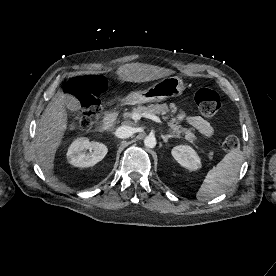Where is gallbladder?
<instances>
[{
  "label": "gallbladder",
  "mask_w": 276,
  "mask_h": 276,
  "mask_svg": "<svg viewBox=\"0 0 276 276\" xmlns=\"http://www.w3.org/2000/svg\"><path fill=\"white\" fill-rule=\"evenodd\" d=\"M67 108L71 111H78L81 108L79 100L73 97L71 100L67 101Z\"/></svg>",
  "instance_id": "gallbladder-1"
}]
</instances>
